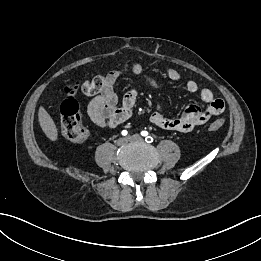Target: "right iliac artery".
<instances>
[{
  "instance_id": "obj_1",
  "label": "right iliac artery",
  "mask_w": 261,
  "mask_h": 261,
  "mask_svg": "<svg viewBox=\"0 0 261 261\" xmlns=\"http://www.w3.org/2000/svg\"><path fill=\"white\" fill-rule=\"evenodd\" d=\"M127 134H128V132H127L126 130H123V131H122V135H123V136H126Z\"/></svg>"
}]
</instances>
